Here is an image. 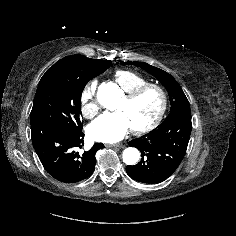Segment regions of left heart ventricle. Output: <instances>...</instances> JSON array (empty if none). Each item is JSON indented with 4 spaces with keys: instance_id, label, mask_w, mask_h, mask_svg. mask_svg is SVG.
<instances>
[{
    "instance_id": "left-heart-ventricle-1",
    "label": "left heart ventricle",
    "mask_w": 236,
    "mask_h": 236,
    "mask_svg": "<svg viewBox=\"0 0 236 236\" xmlns=\"http://www.w3.org/2000/svg\"><path fill=\"white\" fill-rule=\"evenodd\" d=\"M161 98L157 91L149 90L134 101L127 102L124 98L116 110L123 111L132 127H140L151 122L160 108Z\"/></svg>"
}]
</instances>
